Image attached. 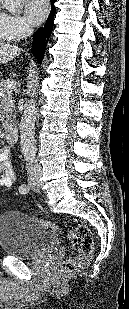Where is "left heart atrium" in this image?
<instances>
[{
	"instance_id": "1",
	"label": "left heart atrium",
	"mask_w": 129,
	"mask_h": 309,
	"mask_svg": "<svg viewBox=\"0 0 129 309\" xmlns=\"http://www.w3.org/2000/svg\"><path fill=\"white\" fill-rule=\"evenodd\" d=\"M49 10L47 0H26L25 15L32 25L40 24L46 17Z\"/></svg>"
}]
</instances>
